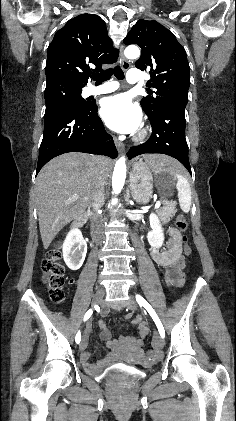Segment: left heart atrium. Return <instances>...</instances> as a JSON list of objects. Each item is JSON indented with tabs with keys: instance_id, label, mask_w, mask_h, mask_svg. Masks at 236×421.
I'll return each instance as SVG.
<instances>
[{
	"instance_id": "39dd6f15",
	"label": "left heart atrium",
	"mask_w": 236,
	"mask_h": 421,
	"mask_svg": "<svg viewBox=\"0 0 236 421\" xmlns=\"http://www.w3.org/2000/svg\"><path fill=\"white\" fill-rule=\"evenodd\" d=\"M100 114L105 123L114 131L133 133L142 125V115L137 106L124 94L105 98Z\"/></svg>"
}]
</instances>
